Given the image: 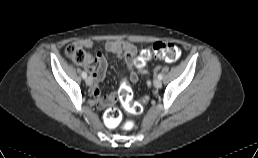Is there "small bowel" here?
Listing matches in <instances>:
<instances>
[{"label": "small bowel", "mask_w": 258, "mask_h": 158, "mask_svg": "<svg viewBox=\"0 0 258 158\" xmlns=\"http://www.w3.org/2000/svg\"><path fill=\"white\" fill-rule=\"evenodd\" d=\"M76 45L82 48H90L92 47L93 42L91 40H82L79 41ZM103 48L107 52H113L118 57H122L125 60L127 69L130 71V80L132 82H136L138 80V73L135 70V59L139 53V48L126 40L106 41L103 45ZM84 65L91 72V85H93L91 93L97 100L99 106L106 107L111 105L115 101V96L109 95L107 97H102L98 88L107 70L108 63L106 58L101 53H97L95 65L90 66L89 63H85Z\"/></svg>", "instance_id": "obj_1"}]
</instances>
